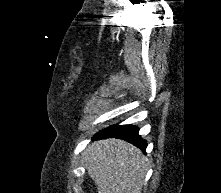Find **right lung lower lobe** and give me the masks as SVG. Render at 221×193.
Segmentation results:
<instances>
[{
    "label": "right lung lower lobe",
    "instance_id": "98d812e1",
    "mask_svg": "<svg viewBox=\"0 0 221 193\" xmlns=\"http://www.w3.org/2000/svg\"><path fill=\"white\" fill-rule=\"evenodd\" d=\"M138 128L132 125H113L96 134V138H119L126 140L145 151L147 143L138 134Z\"/></svg>",
    "mask_w": 221,
    "mask_h": 193
}]
</instances>
